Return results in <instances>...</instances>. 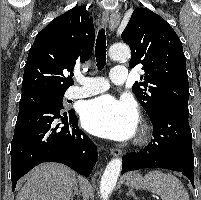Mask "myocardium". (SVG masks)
<instances>
[{"mask_svg":"<svg viewBox=\"0 0 201 200\" xmlns=\"http://www.w3.org/2000/svg\"><path fill=\"white\" fill-rule=\"evenodd\" d=\"M148 133V127L144 123H142L137 134L136 142L143 143L144 141H146Z\"/></svg>","mask_w":201,"mask_h":200,"instance_id":"myocardium-1","label":"myocardium"}]
</instances>
